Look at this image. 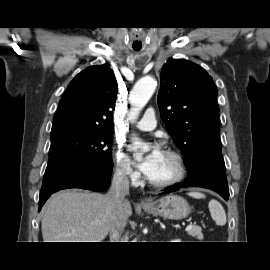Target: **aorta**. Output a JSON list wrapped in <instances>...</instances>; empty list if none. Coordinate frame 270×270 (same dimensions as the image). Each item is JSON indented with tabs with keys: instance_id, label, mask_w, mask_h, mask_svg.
<instances>
[{
	"instance_id": "obj_1",
	"label": "aorta",
	"mask_w": 270,
	"mask_h": 270,
	"mask_svg": "<svg viewBox=\"0 0 270 270\" xmlns=\"http://www.w3.org/2000/svg\"><path fill=\"white\" fill-rule=\"evenodd\" d=\"M156 86L157 82L151 76L143 77L136 82L129 95L131 109L128 118L130 120L134 121L138 118L140 111L153 95ZM141 157L142 153H139L137 154L136 159L140 160Z\"/></svg>"
}]
</instances>
